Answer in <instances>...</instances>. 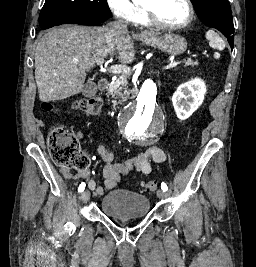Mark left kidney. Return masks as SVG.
Instances as JSON below:
<instances>
[{"instance_id":"1","label":"left kidney","mask_w":256,"mask_h":267,"mask_svg":"<svg viewBox=\"0 0 256 267\" xmlns=\"http://www.w3.org/2000/svg\"><path fill=\"white\" fill-rule=\"evenodd\" d=\"M206 92V86L200 78H195V80L181 84L172 96L177 118L179 120L190 118L191 114L203 104Z\"/></svg>"}]
</instances>
